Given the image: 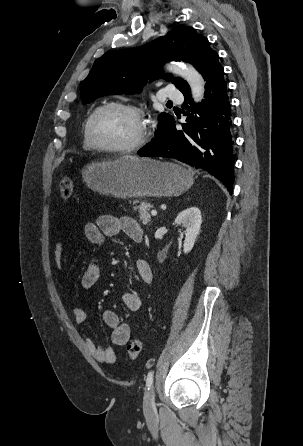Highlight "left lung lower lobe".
Returning <instances> with one entry per match:
<instances>
[{"mask_svg": "<svg viewBox=\"0 0 303 446\" xmlns=\"http://www.w3.org/2000/svg\"><path fill=\"white\" fill-rule=\"evenodd\" d=\"M206 80L205 100L195 106L190 88L181 91L187 116L183 130H176L174 118L157 131L156 138L138 151L139 156L175 158L202 168L233 192L234 158L230 127V102L224 69L215 54L202 72Z\"/></svg>", "mask_w": 303, "mask_h": 446, "instance_id": "left-lung-lower-lobe-1", "label": "left lung lower lobe"}]
</instances>
